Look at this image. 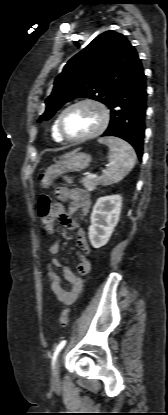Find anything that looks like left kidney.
<instances>
[{
    "instance_id": "1",
    "label": "left kidney",
    "mask_w": 168,
    "mask_h": 415,
    "mask_svg": "<svg viewBox=\"0 0 168 415\" xmlns=\"http://www.w3.org/2000/svg\"><path fill=\"white\" fill-rule=\"evenodd\" d=\"M122 207L120 195L100 197L91 214L89 226V240L94 248L107 244L115 226L118 223Z\"/></svg>"
}]
</instances>
